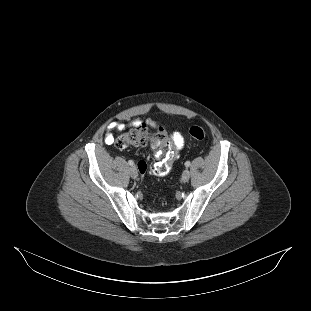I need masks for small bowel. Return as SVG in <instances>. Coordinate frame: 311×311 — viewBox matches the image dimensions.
I'll return each mask as SVG.
<instances>
[{"mask_svg":"<svg viewBox=\"0 0 311 311\" xmlns=\"http://www.w3.org/2000/svg\"><path fill=\"white\" fill-rule=\"evenodd\" d=\"M141 124V122L139 120H134L129 124H124L122 122L119 121H113L111 122L108 127H107V131H106V135H105V143L110 145L114 142V137H113V132L114 131H121L124 130L125 128H127L128 126L133 127L136 125ZM148 124L152 127L155 126V123L153 121H148ZM172 144L174 145V147L176 148V150H180L183 148L184 146V139L182 137V135L179 132H174L173 136H172ZM155 156L157 158L160 157V152L156 151L155 152ZM177 158V153L175 151H173L172 153H170L167 156V161L169 164H171L175 159Z\"/></svg>","mask_w":311,"mask_h":311,"instance_id":"obj_1","label":"small bowel"}]
</instances>
